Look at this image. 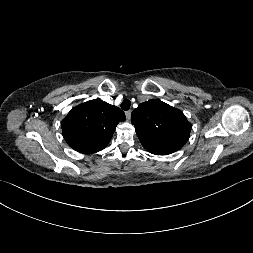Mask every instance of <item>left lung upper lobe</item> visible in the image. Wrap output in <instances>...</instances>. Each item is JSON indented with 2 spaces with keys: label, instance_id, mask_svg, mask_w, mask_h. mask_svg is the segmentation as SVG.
<instances>
[{
  "label": "left lung upper lobe",
  "instance_id": "obj_1",
  "mask_svg": "<svg viewBox=\"0 0 253 253\" xmlns=\"http://www.w3.org/2000/svg\"><path fill=\"white\" fill-rule=\"evenodd\" d=\"M131 122L143 147L156 155L179 150L191 131L190 122L179 109L156 99L139 104Z\"/></svg>",
  "mask_w": 253,
  "mask_h": 253
}]
</instances>
